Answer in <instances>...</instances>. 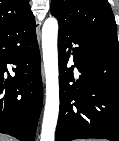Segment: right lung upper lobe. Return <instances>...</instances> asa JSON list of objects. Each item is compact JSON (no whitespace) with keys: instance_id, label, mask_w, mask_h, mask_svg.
Instances as JSON below:
<instances>
[{"instance_id":"right-lung-upper-lobe-1","label":"right lung upper lobe","mask_w":119,"mask_h":141,"mask_svg":"<svg viewBox=\"0 0 119 141\" xmlns=\"http://www.w3.org/2000/svg\"><path fill=\"white\" fill-rule=\"evenodd\" d=\"M33 20L29 0H0V35Z\"/></svg>"}]
</instances>
